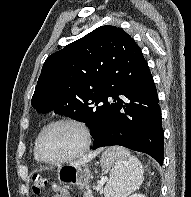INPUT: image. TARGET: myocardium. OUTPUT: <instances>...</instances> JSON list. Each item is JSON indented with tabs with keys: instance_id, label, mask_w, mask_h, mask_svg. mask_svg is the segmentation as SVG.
Returning a JSON list of instances; mask_svg holds the SVG:
<instances>
[{
	"instance_id": "f54148a6",
	"label": "myocardium",
	"mask_w": 191,
	"mask_h": 197,
	"mask_svg": "<svg viewBox=\"0 0 191 197\" xmlns=\"http://www.w3.org/2000/svg\"><path fill=\"white\" fill-rule=\"evenodd\" d=\"M59 124H71L76 127H78L83 135V144L79 150H77L75 153L62 158L58 160H47L44 158V156L41 154L40 151V141L43 136V134L51 127ZM93 141L92 132L90 127L81 119L75 118V117H60L55 120H52L51 122L47 123L39 132V134L36 137L35 145H34V153L36 158L43 164L56 166L61 165L67 162H70L72 160H75L81 156H83L91 147Z\"/></svg>"
}]
</instances>
